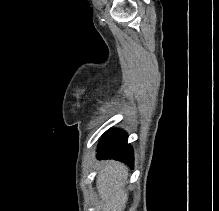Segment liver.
<instances>
[{
    "label": "liver",
    "instance_id": "1",
    "mask_svg": "<svg viewBox=\"0 0 219 211\" xmlns=\"http://www.w3.org/2000/svg\"><path fill=\"white\" fill-rule=\"evenodd\" d=\"M128 177V167L121 161H102L96 179L99 197L105 201L103 211H124L128 193L124 185Z\"/></svg>",
    "mask_w": 219,
    "mask_h": 211
}]
</instances>
